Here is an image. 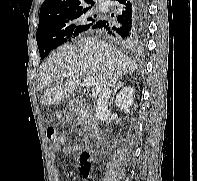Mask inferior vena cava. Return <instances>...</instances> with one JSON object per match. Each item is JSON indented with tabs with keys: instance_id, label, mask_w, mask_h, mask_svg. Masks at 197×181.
<instances>
[{
	"instance_id": "obj_1",
	"label": "inferior vena cava",
	"mask_w": 197,
	"mask_h": 181,
	"mask_svg": "<svg viewBox=\"0 0 197 181\" xmlns=\"http://www.w3.org/2000/svg\"><path fill=\"white\" fill-rule=\"evenodd\" d=\"M110 87V84L105 85L102 89L101 95L98 97L97 105L95 107V116L99 120H103L108 114V104L111 95Z\"/></svg>"
}]
</instances>
